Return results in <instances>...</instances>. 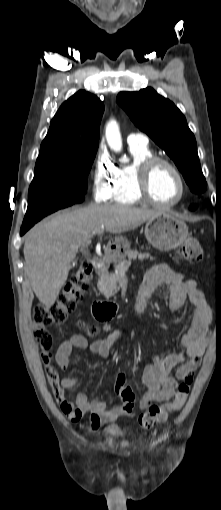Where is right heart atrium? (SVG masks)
<instances>
[{
  "label": "right heart atrium",
  "mask_w": 221,
  "mask_h": 510,
  "mask_svg": "<svg viewBox=\"0 0 221 510\" xmlns=\"http://www.w3.org/2000/svg\"><path fill=\"white\" fill-rule=\"evenodd\" d=\"M115 166L103 149H99L93 164L92 192L97 202H108L113 193Z\"/></svg>",
  "instance_id": "d8ad5b80"
}]
</instances>
